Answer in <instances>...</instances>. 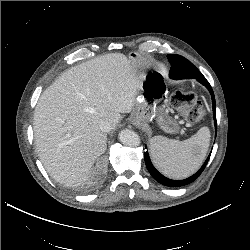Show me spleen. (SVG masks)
Masks as SVG:
<instances>
[{
  "mask_svg": "<svg viewBox=\"0 0 250 250\" xmlns=\"http://www.w3.org/2000/svg\"><path fill=\"white\" fill-rule=\"evenodd\" d=\"M210 143L208 127L184 141L155 136L150 140V154L156 168L173 179L190 176L201 166Z\"/></svg>",
  "mask_w": 250,
  "mask_h": 250,
  "instance_id": "obj_1",
  "label": "spleen"
}]
</instances>
